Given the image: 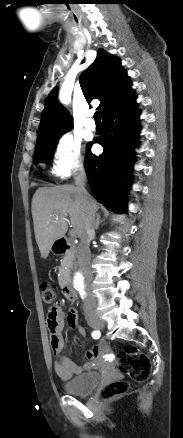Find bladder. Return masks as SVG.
I'll return each mask as SVG.
<instances>
[{
	"label": "bladder",
	"mask_w": 183,
	"mask_h": 438,
	"mask_svg": "<svg viewBox=\"0 0 183 438\" xmlns=\"http://www.w3.org/2000/svg\"><path fill=\"white\" fill-rule=\"evenodd\" d=\"M101 380L97 372L82 373L65 382L63 388L66 393L76 396H86L92 393Z\"/></svg>",
	"instance_id": "1"
}]
</instances>
